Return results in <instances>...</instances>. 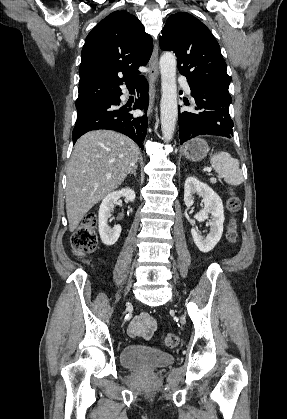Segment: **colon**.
<instances>
[{
  "label": "colon",
  "instance_id": "colon-1",
  "mask_svg": "<svg viewBox=\"0 0 287 419\" xmlns=\"http://www.w3.org/2000/svg\"><path fill=\"white\" fill-rule=\"evenodd\" d=\"M227 208L232 214L229 223L227 237L230 242H235L237 237L236 220L234 216L240 209V200L231 194L227 201ZM97 218L94 213H89L72 236L71 243L73 254L83 258L92 253L97 247V234L95 231ZM178 336L174 333H167L162 337V344L166 348H174L178 345Z\"/></svg>",
  "mask_w": 287,
  "mask_h": 419
}]
</instances>
